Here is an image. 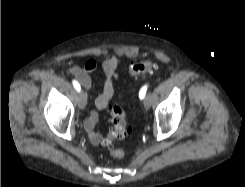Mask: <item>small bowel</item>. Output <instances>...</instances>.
Returning <instances> with one entry per match:
<instances>
[{"instance_id":"obj_1","label":"small bowel","mask_w":245,"mask_h":187,"mask_svg":"<svg viewBox=\"0 0 245 187\" xmlns=\"http://www.w3.org/2000/svg\"><path fill=\"white\" fill-rule=\"evenodd\" d=\"M121 62V59L116 56L107 58L101 63L97 60L90 59L82 65H72L67 67V72L74 76L85 89H89L91 87L90 74L96 71L99 66L102 68L103 88L95 101V105L98 109L104 110L114 96V83L119 78L118 68L121 65ZM97 118V113L91 111L85 121V127L89 133L90 141L96 146L105 143L103 137L95 131Z\"/></svg>"}]
</instances>
